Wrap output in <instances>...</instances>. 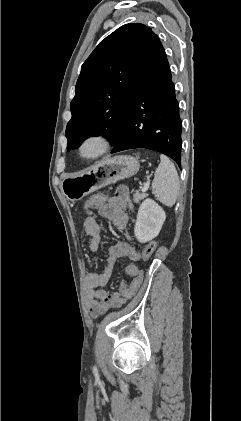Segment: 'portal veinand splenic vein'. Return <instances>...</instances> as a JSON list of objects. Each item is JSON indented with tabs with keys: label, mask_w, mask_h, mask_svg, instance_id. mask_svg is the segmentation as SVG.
Masks as SVG:
<instances>
[{
	"label": "portal vein and splenic vein",
	"mask_w": 241,
	"mask_h": 421,
	"mask_svg": "<svg viewBox=\"0 0 241 421\" xmlns=\"http://www.w3.org/2000/svg\"><path fill=\"white\" fill-rule=\"evenodd\" d=\"M150 186V180L148 179L147 182L142 187V192H146Z\"/></svg>",
	"instance_id": "portal-vein-and-splenic-vein-1"
}]
</instances>
